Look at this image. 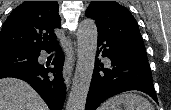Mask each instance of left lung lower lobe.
I'll use <instances>...</instances> for the list:
<instances>
[{
    "label": "left lung lower lobe",
    "instance_id": "left-lung-lower-lobe-1",
    "mask_svg": "<svg viewBox=\"0 0 171 110\" xmlns=\"http://www.w3.org/2000/svg\"><path fill=\"white\" fill-rule=\"evenodd\" d=\"M97 47H101L100 51L103 49L101 55L107 57L111 65L105 68L99 59H95L85 110H96L109 97L129 90L142 91L158 103L147 57L122 49L100 37Z\"/></svg>",
    "mask_w": 171,
    "mask_h": 110
}]
</instances>
